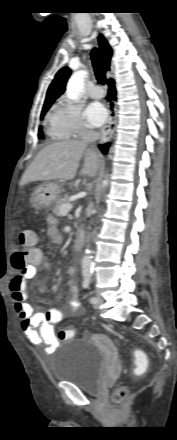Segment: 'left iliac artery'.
Here are the masks:
<instances>
[{"instance_id": "1", "label": "left iliac artery", "mask_w": 177, "mask_h": 440, "mask_svg": "<svg viewBox=\"0 0 177 440\" xmlns=\"http://www.w3.org/2000/svg\"><path fill=\"white\" fill-rule=\"evenodd\" d=\"M90 282H91L90 275H86L84 277L83 284H82L83 288L84 289L89 288ZM89 301H90V303L94 304L98 301V299L96 297H90Z\"/></svg>"}]
</instances>
